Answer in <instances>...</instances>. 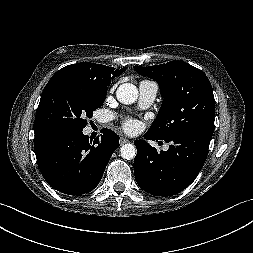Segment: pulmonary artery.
Listing matches in <instances>:
<instances>
[{
  "mask_svg": "<svg viewBox=\"0 0 253 253\" xmlns=\"http://www.w3.org/2000/svg\"><path fill=\"white\" fill-rule=\"evenodd\" d=\"M158 89V84L154 81H141L139 83V106L141 108L149 107L154 102Z\"/></svg>",
  "mask_w": 253,
  "mask_h": 253,
  "instance_id": "e3ab8cb5",
  "label": "pulmonary artery"
}]
</instances>
